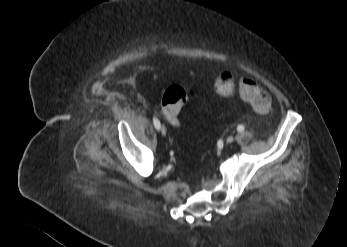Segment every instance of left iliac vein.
<instances>
[{
  "mask_svg": "<svg viewBox=\"0 0 347 247\" xmlns=\"http://www.w3.org/2000/svg\"><path fill=\"white\" fill-rule=\"evenodd\" d=\"M233 141H234V137L233 136H228L226 138V143H228V144L232 143Z\"/></svg>",
  "mask_w": 347,
  "mask_h": 247,
  "instance_id": "left-iliac-vein-1",
  "label": "left iliac vein"
}]
</instances>
